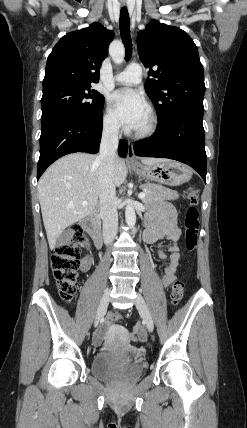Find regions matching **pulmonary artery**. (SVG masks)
I'll use <instances>...</instances> for the list:
<instances>
[{
	"label": "pulmonary artery",
	"mask_w": 247,
	"mask_h": 428,
	"mask_svg": "<svg viewBox=\"0 0 247 428\" xmlns=\"http://www.w3.org/2000/svg\"><path fill=\"white\" fill-rule=\"evenodd\" d=\"M142 68L139 64H130L115 76V81L122 85H134L141 81Z\"/></svg>",
	"instance_id": "e3ab8cb5"
}]
</instances>
